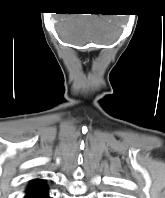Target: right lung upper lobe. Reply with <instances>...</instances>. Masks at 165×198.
Returning a JSON list of instances; mask_svg holds the SVG:
<instances>
[{"instance_id": "cb5924a9", "label": "right lung upper lobe", "mask_w": 165, "mask_h": 198, "mask_svg": "<svg viewBox=\"0 0 165 198\" xmlns=\"http://www.w3.org/2000/svg\"><path fill=\"white\" fill-rule=\"evenodd\" d=\"M44 186H46V185H45V183H44L42 180H40V179H35V180H33V181L29 184V186H28L26 192L28 193V192L37 190V189H39V188H42V187H44Z\"/></svg>"}]
</instances>
